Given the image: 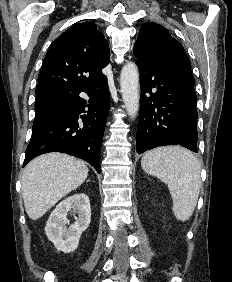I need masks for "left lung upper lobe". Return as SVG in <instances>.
<instances>
[{
	"label": "left lung upper lobe",
	"instance_id": "obj_1",
	"mask_svg": "<svg viewBox=\"0 0 232 282\" xmlns=\"http://www.w3.org/2000/svg\"><path fill=\"white\" fill-rule=\"evenodd\" d=\"M134 55L139 60L150 62L171 58L189 61L183 46L170 35L168 30L152 22L145 23L139 30V37L134 45Z\"/></svg>",
	"mask_w": 232,
	"mask_h": 282
}]
</instances>
